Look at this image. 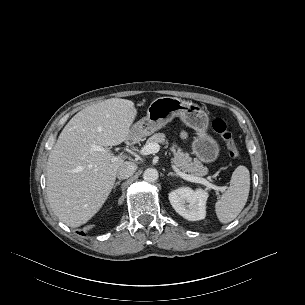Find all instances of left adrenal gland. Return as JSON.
I'll list each match as a JSON object with an SVG mask.
<instances>
[{
	"label": "left adrenal gland",
	"instance_id": "obj_1",
	"mask_svg": "<svg viewBox=\"0 0 305 305\" xmlns=\"http://www.w3.org/2000/svg\"><path fill=\"white\" fill-rule=\"evenodd\" d=\"M167 176H168V177H169V176H176V177H178V175H177L176 173H173V172H169Z\"/></svg>",
	"mask_w": 305,
	"mask_h": 305
}]
</instances>
